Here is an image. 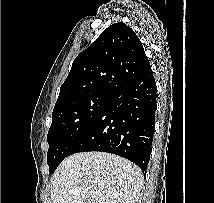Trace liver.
Segmentation results:
<instances>
[{
  "label": "liver",
  "instance_id": "6515ba94",
  "mask_svg": "<svg viewBox=\"0 0 214 203\" xmlns=\"http://www.w3.org/2000/svg\"><path fill=\"white\" fill-rule=\"evenodd\" d=\"M143 186L138 166L106 152H81L57 168L51 185L52 203H136ZM79 190V194L71 191Z\"/></svg>",
  "mask_w": 214,
  "mask_h": 203
}]
</instances>
